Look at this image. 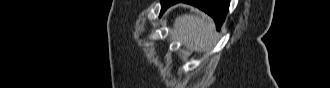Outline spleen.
<instances>
[{"label":"spleen","instance_id":"spleen-1","mask_svg":"<svg viewBox=\"0 0 330 88\" xmlns=\"http://www.w3.org/2000/svg\"><path fill=\"white\" fill-rule=\"evenodd\" d=\"M170 38L194 51L208 50L217 40L214 23L204 14L178 16L170 32Z\"/></svg>","mask_w":330,"mask_h":88}]
</instances>
